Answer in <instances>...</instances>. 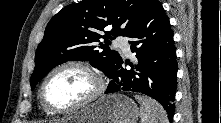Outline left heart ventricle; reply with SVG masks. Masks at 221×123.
<instances>
[{
	"label": "left heart ventricle",
	"mask_w": 221,
	"mask_h": 123,
	"mask_svg": "<svg viewBox=\"0 0 221 123\" xmlns=\"http://www.w3.org/2000/svg\"><path fill=\"white\" fill-rule=\"evenodd\" d=\"M95 81L79 69H64L54 74L46 86L48 102L58 108L85 100L94 90Z\"/></svg>",
	"instance_id": "1"
}]
</instances>
